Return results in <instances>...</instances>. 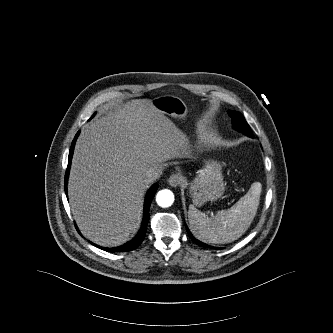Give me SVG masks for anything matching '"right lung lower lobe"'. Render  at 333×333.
I'll use <instances>...</instances> for the list:
<instances>
[{
	"label": "right lung lower lobe",
	"mask_w": 333,
	"mask_h": 333,
	"mask_svg": "<svg viewBox=\"0 0 333 333\" xmlns=\"http://www.w3.org/2000/svg\"><path fill=\"white\" fill-rule=\"evenodd\" d=\"M78 134H79V132L76 134V136H75V138L72 142L70 152H69L68 167H67L66 175H65V192H66V195H67V180H68V175H69V169H70V164H71V159H72V155H73L75 141H76V138H77ZM157 188H158V185L154 184L149 189V191L147 192L145 203H144L143 222H142L141 228H140L137 236L134 239L125 243L124 245H121V246H118V247H115V248H104V247H100L98 245H95L93 243L92 244L94 246H96V247H98L102 250L108 251V252H125V251H131V250H134L135 248H137L145 237V233H146V230H147V224H148V220H149V207L151 205L152 199L155 195V192H156Z\"/></svg>",
	"instance_id": "98d812e1"
}]
</instances>
